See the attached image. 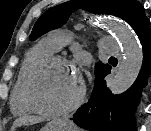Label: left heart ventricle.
Instances as JSON below:
<instances>
[{"label": "left heart ventricle", "mask_w": 151, "mask_h": 131, "mask_svg": "<svg viewBox=\"0 0 151 131\" xmlns=\"http://www.w3.org/2000/svg\"><path fill=\"white\" fill-rule=\"evenodd\" d=\"M79 86L77 74L71 68L57 64L37 75L33 93L42 106L59 108L75 97Z\"/></svg>", "instance_id": "left-heart-ventricle-1"}]
</instances>
